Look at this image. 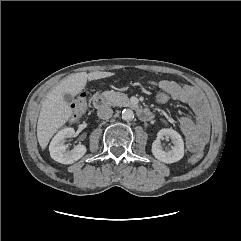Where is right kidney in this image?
<instances>
[{
  "label": "right kidney",
  "instance_id": "right-kidney-1",
  "mask_svg": "<svg viewBox=\"0 0 241 241\" xmlns=\"http://www.w3.org/2000/svg\"><path fill=\"white\" fill-rule=\"evenodd\" d=\"M75 134L74 128L67 127L59 131L52 139L49 145L50 156L55 161L62 164H72L78 161L87 151L84 145H76L72 150L67 151V145L64 143L66 138Z\"/></svg>",
  "mask_w": 241,
  "mask_h": 241
}]
</instances>
